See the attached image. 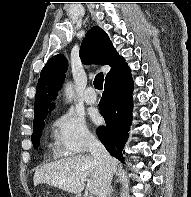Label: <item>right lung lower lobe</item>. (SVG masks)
Segmentation results:
<instances>
[{"label":"right lung lower lobe","mask_w":191,"mask_h":197,"mask_svg":"<svg viewBox=\"0 0 191 197\" xmlns=\"http://www.w3.org/2000/svg\"><path fill=\"white\" fill-rule=\"evenodd\" d=\"M132 92L133 80L128 68L105 81V91L99 103L106 126L98 127L97 135L107 151L122 162V150L132 120Z\"/></svg>","instance_id":"obj_1"}]
</instances>
